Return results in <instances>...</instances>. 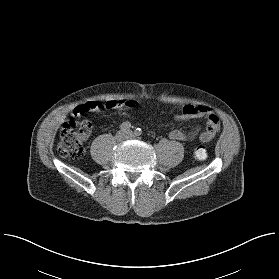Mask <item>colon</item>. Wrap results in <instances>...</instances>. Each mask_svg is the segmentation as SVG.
<instances>
[{
    "label": "colon",
    "instance_id": "obj_1",
    "mask_svg": "<svg viewBox=\"0 0 279 279\" xmlns=\"http://www.w3.org/2000/svg\"><path fill=\"white\" fill-rule=\"evenodd\" d=\"M134 105L135 102L131 101ZM92 124L89 120H70L65 122L60 129V140L58 145V152L61 156L70 157L72 159H80L85 153L83 140L89 133ZM219 127H214L212 132L217 133ZM210 135L205 136L203 141H206ZM194 155L197 159L203 160L207 156V151L204 146H198L194 150Z\"/></svg>",
    "mask_w": 279,
    "mask_h": 279
}]
</instances>
